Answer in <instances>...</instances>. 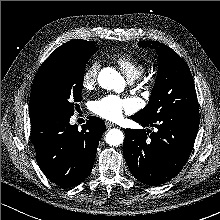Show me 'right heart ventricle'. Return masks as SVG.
Returning <instances> with one entry per match:
<instances>
[{
  "label": "right heart ventricle",
  "mask_w": 220,
  "mask_h": 220,
  "mask_svg": "<svg viewBox=\"0 0 220 220\" xmlns=\"http://www.w3.org/2000/svg\"><path fill=\"white\" fill-rule=\"evenodd\" d=\"M113 60L129 79L138 78L144 71V66L127 52L114 54Z\"/></svg>",
  "instance_id": "obj_1"
}]
</instances>
